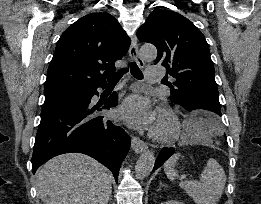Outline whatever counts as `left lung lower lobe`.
Segmentation results:
<instances>
[{"label": "left lung lower lobe", "instance_id": "obj_1", "mask_svg": "<svg viewBox=\"0 0 261 204\" xmlns=\"http://www.w3.org/2000/svg\"><path fill=\"white\" fill-rule=\"evenodd\" d=\"M187 111L191 112L192 115H197L202 119V124L206 130L220 134L222 132L221 124L217 120L210 117L202 109L197 108H186ZM174 153V148H162L155 162L153 171L159 168L172 154Z\"/></svg>", "mask_w": 261, "mask_h": 204}]
</instances>
